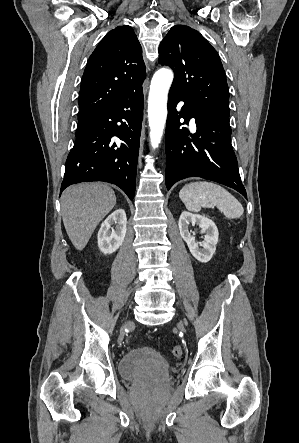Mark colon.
I'll return each instance as SVG.
<instances>
[{
  "instance_id": "obj_1",
  "label": "colon",
  "mask_w": 299,
  "mask_h": 443,
  "mask_svg": "<svg viewBox=\"0 0 299 443\" xmlns=\"http://www.w3.org/2000/svg\"><path fill=\"white\" fill-rule=\"evenodd\" d=\"M172 354L176 358H181L183 356V348L180 345H175L172 348Z\"/></svg>"
}]
</instances>
